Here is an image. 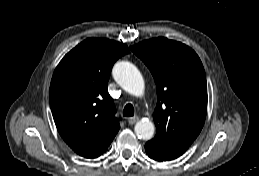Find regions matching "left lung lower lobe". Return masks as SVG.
<instances>
[{
	"mask_svg": "<svg viewBox=\"0 0 259 176\" xmlns=\"http://www.w3.org/2000/svg\"><path fill=\"white\" fill-rule=\"evenodd\" d=\"M145 150H146V153L148 154V156L150 158H153L154 160H157V161H166V160H172V159H168V158H164V157H161L159 155H154L151 151H149L147 148H146V145H145Z\"/></svg>",
	"mask_w": 259,
	"mask_h": 176,
	"instance_id": "1",
	"label": "left lung lower lobe"
}]
</instances>
